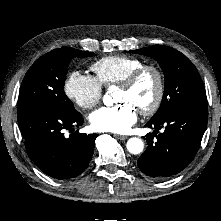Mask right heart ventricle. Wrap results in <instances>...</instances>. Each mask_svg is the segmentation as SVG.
<instances>
[{"label":"right heart ventricle","instance_id":"obj_1","mask_svg":"<svg viewBox=\"0 0 221 221\" xmlns=\"http://www.w3.org/2000/svg\"><path fill=\"white\" fill-rule=\"evenodd\" d=\"M144 62L136 57L113 55L103 57L91 65L96 80L105 87L118 84Z\"/></svg>","mask_w":221,"mask_h":221}]
</instances>
